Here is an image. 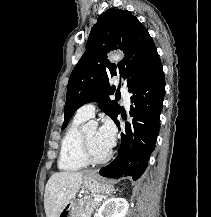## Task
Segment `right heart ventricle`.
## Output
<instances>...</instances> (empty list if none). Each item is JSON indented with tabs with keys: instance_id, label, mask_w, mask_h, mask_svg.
<instances>
[{
	"instance_id": "1",
	"label": "right heart ventricle",
	"mask_w": 211,
	"mask_h": 217,
	"mask_svg": "<svg viewBox=\"0 0 211 217\" xmlns=\"http://www.w3.org/2000/svg\"><path fill=\"white\" fill-rule=\"evenodd\" d=\"M84 122L85 119L76 116L62 138L58 158L61 170L77 171L87 165L80 152L81 127Z\"/></svg>"
}]
</instances>
